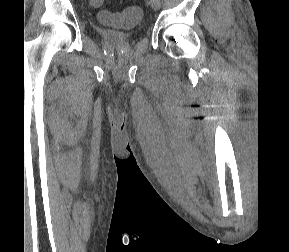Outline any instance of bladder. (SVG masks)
<instances>
[{"label": "bladder", "mask_w": 289, "mask_h": 252, "mask_svg": "<svg viewBox=\"0 0 289 252\" xmlns=\"http://www.w3.org/2000/svg\"><path fill=\"white\" fill-rule=\"evenodd\" d=\"M100 38L109 45H123L129 43L136 35L134 31L122 32L109 28H97Z\"/></svg>", "instance_id": "1"}]
</instances>
